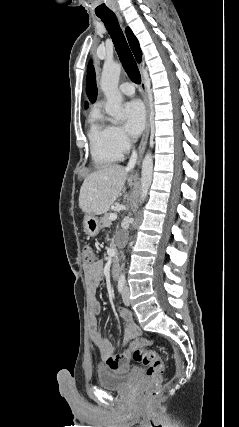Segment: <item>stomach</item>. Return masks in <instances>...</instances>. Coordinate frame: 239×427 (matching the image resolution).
Segmentation results:
<instances>
[{"label": "stomach", "mask_w": 239, "mask_h": 427, "mask_svg": "<svg viewBox=\"0 0 239 427\" xmlns=\"http://www.w3.org/2000/svg\"><path fill=\"white\" fill-rule=\"evenodd\" d=\"M84 231L87 235L94 237L101 230V220L94 214H86L83 221Z\"/></svg>", "instance_id": "obj_1"}]
</instances>
